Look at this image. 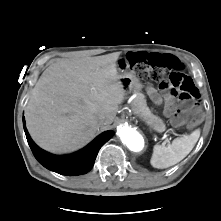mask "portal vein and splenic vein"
Segmentation results:
<instances>
[{"label": "portal vein and splenic vein", "mask_w": 221, "mask_h": 221, "mask_svg": "<svg viewBox=\"0 0 221 221\" xmlns=\"http://www.w3.org/2000/svg\"><path fill=\"white\" fill-rule=\"evenodd\" d=\"M164 137L166 138V137H167V135L165 134V135H164ZM166 141L169 143V140H168V139H167Z\"/></svg>", "instance_id": "portal-vein-and-splenic-vein-1"}]
</instances>
